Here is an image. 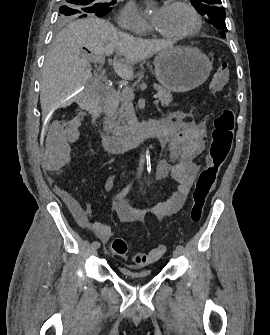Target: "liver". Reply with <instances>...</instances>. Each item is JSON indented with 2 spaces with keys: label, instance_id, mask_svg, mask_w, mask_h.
<instances>
[{
  "label": "liver",
  "instance_id": "liver-1",
  "mask_svg": "<svg viewBox=\"0 0 270 335\" xmlns=\"http://www.w3.org/2000/svg\"><path fill=\"white\" fill-rule=\"evenodd\" d=\"M87 48L97 56H112L118 52L124 60L114 62L113 68L120 76L128 80L132 76L133 68L129 64H136L151 58L162 50L172 48L166 40H144L134 38L110 24L109 20L101 18H82L67 24L51 46L46 56L43 74L40 82V104L42 116H48L64 98H68L78 88L93 90L98 80L91 74V64L83 56Z\"/></svg>",
  "mask_w": 270,
  "mask_h": 335
}]
</instances>
